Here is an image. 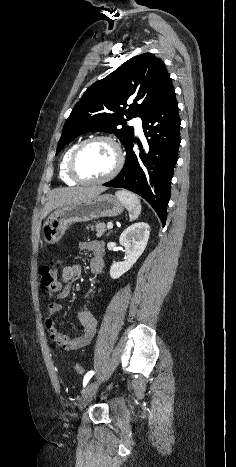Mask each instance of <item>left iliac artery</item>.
Returning <instances> with one entry per match:
<instances>
[{"mask_svg": "<svg viewBox=\"0 0 236 467\" xmlns=\"http://www.w3.org/2000/svg\"><path fill=\"white\" fill-rule=\"evenodd\" d=\"M94 375V371H89L86 373V375L84 376V379H83V387H85L87 385V383L89 382V380L91 379V377Z\"/></svg>", "mask_w": 236, "mask_h": 467, "instance_id": "44dca946", "label": "left iliac artery"}]
</instances>
